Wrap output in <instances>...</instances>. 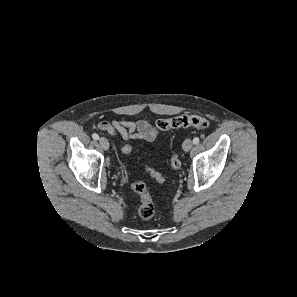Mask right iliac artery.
<instances>
[{"label":"right iliac artery","instance_id":"obj_1","mask_svg":"<svg viewBox=\"0 0 297 297\" xmlns=\"http://www.w3.org/2000/svg\"><path fill=\"white\" fill-rule=\"evenodd\" d=\"M92 138L94 140H98L99 139V136H98V134L94 133V134H92Z\"/></svg>","mask_w":297,"mask_h":297}]
</instances>
